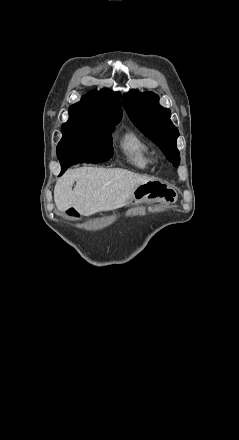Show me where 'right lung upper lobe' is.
Wrapping results in <instances>:
<instances>
[{
  "instance_id": "right-lung-upper-lobe-1",
  "label": "right lung upper lobe",
  "mask_w": 239,
  "mask_h": 440,
  "mask_svg": "<svg viewBox=\"0 0 239 440\" xmlns=\"http://www.w3.org/2000/svg\"><path fill=\"white\" fill-rule=\"evenodd\" d=\"M121 95L108 89L92 91L69 107V116L118 123L122 117Z\"/></svg>"
}]
</instances>
